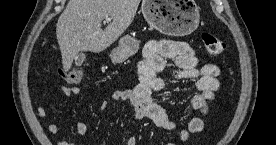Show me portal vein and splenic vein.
Returning a JSON list of instances; mask_svg holds the SVG:
<instances>
[{
	"mask_svg": "<svg viewBox=\"0 0 276 145\" xmlns=\"http://www.w3.org/2000/svg\"><path fill=\"white\" fill-rule=\"evenodd\" d=\"M111 19H112L111 17H105L106 21H111Z\"/></svg>",
	"mask_w": 276,
	"mask_h": 145,
	"instance_id": "1",
	"label": "portal vein and splenic vein"
}]
</instances>
